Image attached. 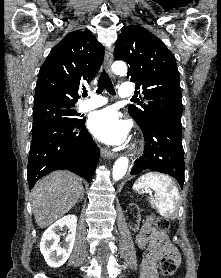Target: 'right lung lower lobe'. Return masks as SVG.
Returning <instances> with one entry per match:
<instances>
[{"label":"right lung lower lobe","instance_id":"98d812e1","mask_svg":"<svg viewBox=\"0 0 221 278\" xmlns=\"http://www.w3.org/2000/svg\"><path fill=\"white\" fill-rule=\"evenodd\" d=\"M99 160V148L85 127V119L75 125L52 124L32 133L28 160V184L45 174L67 169L91 181Z\"/></svg>","mask_w":221,"mask_h":278}]
</instances>
